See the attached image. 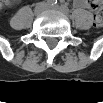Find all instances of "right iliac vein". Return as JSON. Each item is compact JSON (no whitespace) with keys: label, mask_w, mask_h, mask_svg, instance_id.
Here are the masks:
<instances>
[{"label":"right iliac vein","mask_w":103,"mask_h":103,"mask_svg":"<svg viewBox=\"0 0 103 103\" xmlns=\"http://www.w3.org/2000/svg\"><path fill=\"white\" fill-rule=\"evenodd\" d=\"M46 8H47V6L45 3H39L34 9V13L36 15H38V14L42 13Z\"/></svg>","instance_id":"63e3f726"}]
</instances>
